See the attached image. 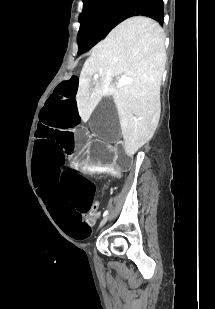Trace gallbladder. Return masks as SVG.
I'll return each mask as SVG.
<instances>
[{
    "instance_id": "bac80fb5",
    "label": "gallbladder",
    "mask_w": 215,
    "mask_h": 309,
    "mask_svg": "<svg viewBox=\"0 0 215 309\" xmlns=\"http://www.w3.org/2000/svg\"><path fill=\"white\" fill-rule=\"evenodd\" d=\"M101 103H96L93 113L90 115V131L97 136H103L111 144L117 143L120 136V123L113 98H101Z\"/></svg>"
}]
</instances>
